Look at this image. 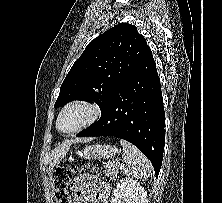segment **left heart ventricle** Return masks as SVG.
Here are the masks:
<instances>
[{"mask_svg":"<svg viewBox=\"0 0 222 203\" xmlns=\"http://www.w3.org/2000/svg\"><path fill=\"white\" fill-rule=\"evenodd\" d=\"M88 116V110L83 107L70 108L62 115L59 127L63 131L72 130L83 123Z\"/></svg>","mask_w":222,"mask_h":203,"instance_id":"obj_1","label":"left heart ventricle"}]
</instances>
